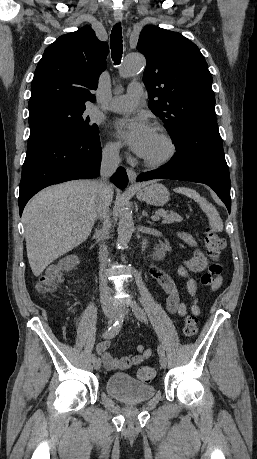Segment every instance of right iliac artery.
<instances>
[{
	"label": "right iliac artery",
	"instance_id": "obj_1",
	"mask_svg": "<svg viewBox=\"0 0 257 459\" xmlns=\"http://www.w3.org/2000/svg\"><path fill=\"white\" fill-rule=\"evenodd\" d=\"M122 323H123L122 319H117V321L104 332L103 338L105 339L114 338L119 333L122 327ZM91 359L92 361L96 360V355L92 354Z\"/></svg>",
	"mask_w": 257,
	"mask_h": 459
}]
</instances>
